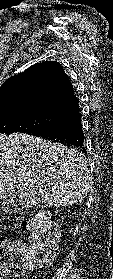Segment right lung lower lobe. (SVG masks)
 Instances as JSON below:
<instances>
[{
    "label": "right lung lower lobe",
    "mask_w": 113,
    "mask_h": 279,
    "mask_svg": "<svg viewBox=\"0 0 113 279\" xmlns=\"http://www.w3.org/2000/svg\"><path fill=\"white\" fill-rule=\"evenodd\" d=\"M37 137L73 145L86 153L79 107L57 124L48 125L33 133Z\"/></svg>",
    "instance_id": "obj_1"
}]
</instances>
